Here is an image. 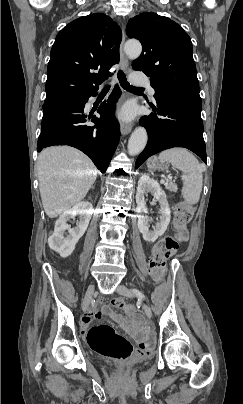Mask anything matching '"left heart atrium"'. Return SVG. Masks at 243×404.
Returning <instances> with one entry per match:
<instances>
[{
	"label": "left heart atrium",
	"instance_id": "1",
	"mask_svg": "<svg viewBox=\"0 0 243 404\" xmlns=\"http://www.w3.org/2000/svg\"><path fill=\"white\" fill-rule=\"evenodd\" d=\"M123 116H124V117H128V114H127V113H124Z\"/></svg>",
	"mask_w": 243,
	"mask_h": 404
}]
</instances>
